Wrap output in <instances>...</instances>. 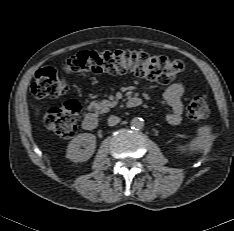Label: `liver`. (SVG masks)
<instances>
[{
  "label": "liver",
  "instance_id": "liver-1",
  "mask_svg": "<svg viewBox=\"0 0 234 231\" xmlns=\"http://www.w3.org/2000/svg\"><path fill=\"white\" fill-rule=\"evenodd\" d=\"M36 115H39V110H38V108H36Z\"/></svg>",
  "mask_w": 234,
  "mask_h": 231
}]
</instances>
